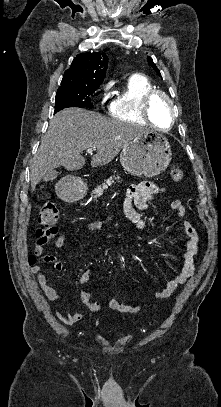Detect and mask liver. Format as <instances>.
<instances>
[{"instance_id":"obj_1","label":"liver","mask_w":221,"mask_h":407,"mask_svg":"<svg viewBox=\"0 0 221 407\" xmlns=\"http://www.w3.org/2000/svg\"><path fill=\"white\" fill-rule=\"evenodd\" d=\"M144 127L113 120L79 108L58 112L49 122L30 167L31 191L44 176L57 167L68 171L85 165L81 153L89 148L96 151L91 166L110 163L133 138L145 133Z\"/></svg>"}]
</instances>
